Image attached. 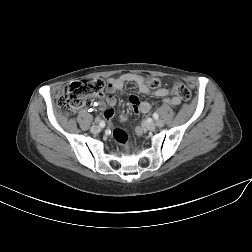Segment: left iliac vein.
Returning <instances> with one entry per match:
<instances>
[{"label":"left iliac vein","instance_id":"obj_1","mask_svg":"<svg viewBox=\"0 0 252 252\" xmlns=\"http://www.w3.org/2000/svg\"><path fill=\"white\" fill-rule=\"evenodd\" d=\"M164 125V122L162 120H158L156 123L155 122H146L145 123V127L150 130V131H153L155 130L156 126H163Z\"/></svg>","mask_w":252,"mask_h":252}]
</instances>
